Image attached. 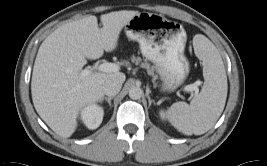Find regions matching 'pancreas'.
Masks as SVG:
<instances>
[{
	"label": "pancreas",
	"instance_id": "pancreas-1",
	"mask_svg": "<svg viewBox=\"0 0 267 166\" xmlns=\"http://www.w3.org/2000/svg\"><path fill=\"white\" fill-rule=\"evenodd\" d=\"M131 60H132L133 63H135L137 65L141 62V58L140 57L133 56ZM141 67L147 69L148 74L153 76V82H155V79H156L157 76L154 74V68L150 67V65H149V63L147 61L141 63Z\"/></svg>",
	"mask_w": 267,
	"mask_h": 166
}]
</instances>
